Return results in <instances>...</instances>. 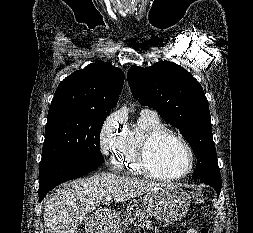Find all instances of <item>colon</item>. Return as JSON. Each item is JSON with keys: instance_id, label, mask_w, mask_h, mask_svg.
<instances>
[{"instance_id": "obj_1", "label": "colon", "mask_w": 253, "mask_h": 233, "mask_svg": "<svg viewBox=\"0 0 253 233\" xmlns=\"http://www.w3.org/2000/svg\"><path fill=\"white\" fill-rule=\"evenodd\" d=\"M194 200H195L196 202H198V203H201V202L204 201V195L201 194V193H196V194L194 195ZM200 233H209V232H208V230H207L206 228H202V229L200 230Z\"/></svg>"}]
</instances>
